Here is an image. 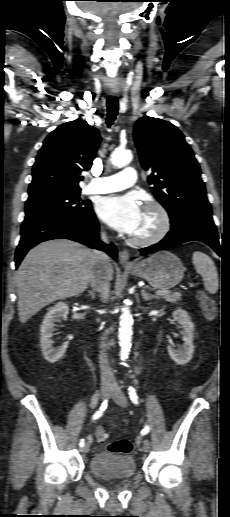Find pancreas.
Returning <instances> with one entry per match:
<instances>
[{
	"instance_id": "pancreas-1",
	"label": "pancreas",
	"mask_w": 230,
	"mask_h": 517,
	"mask_svg": "<svg viewBox=\"0 0 230 517\" xmlns=\"http://www.w3.org/2000/svg\"><path fill=\"white\" fill-rule=\"evenodd\" d=\"M157 298H163L167 302L176 303L177 301H179L181 299V293H178V292H175V293L167 292V293H165L163 295H158Z\"/></svg>"
}]
</instances>
